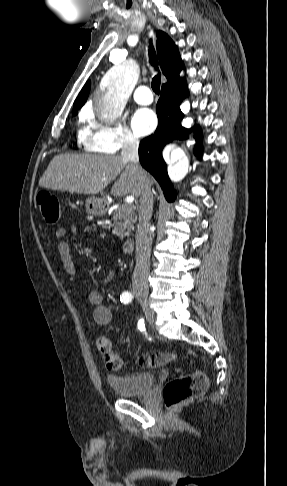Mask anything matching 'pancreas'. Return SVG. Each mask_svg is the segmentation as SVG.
Segmentation results:
<instances>
[{"label":"pancreas","instance_id":"1","mask_svg":"<svg viewBox=\"0 0 287 486\" xmlns=\"http://www.w3.org/2000/svg\"><path fill=\"white\" fill-rule=\"evenodd\" d=\"M136 218V214L134 213L133 206L131 204H123L119 208L115 209L112 214L114 234H116L120 239L128 236L134 229Z\"/></svg>","mask_w":287,"mask_h":486}]
</instances>
